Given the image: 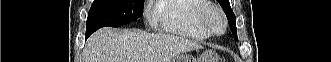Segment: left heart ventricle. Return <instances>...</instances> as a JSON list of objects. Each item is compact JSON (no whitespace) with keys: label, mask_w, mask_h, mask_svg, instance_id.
I'll return each mask as SVG.
<instances>
[{"label":"left heart ventricle","mask_w":331,"mask_h":62,"mask_svg":"<svg viewBox=\"0 0 331 62\" xmlns=\"http://www.w3.org/2000/svg\"><path fill=\"white\" fill-rule=\"evenodd\" d=\"M211 21H212V24H213V26H214V28L216 30H220L221 29L220 18L218 17L217 14H212L211 15Z\"/></svg>","instance_id":"b2bd125f"}]
</instances>
